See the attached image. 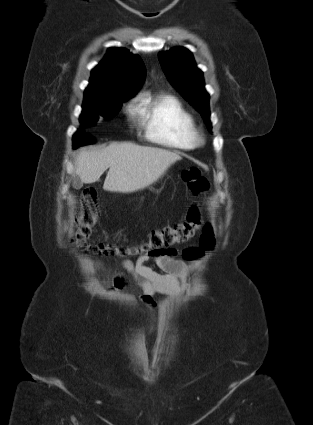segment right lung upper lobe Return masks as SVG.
<instances>
[{
	"label": "right lung upper lobe",
	"instance_id": "obj_1",
	"mask_svg": "<svg viewBox=\"0 0 313 425\" xmlns=\"http://www.w3.org/2000/svg\"><path fill=\"white\" fill-rule=\"evenodd\" d=\"M146 75L142 59L124 48H110L91 72L88 87L84 92V102L122 94L134 96L141 87Z\"/></svg>",
	"mask_w": 313,
	"mask_h": 425
}]
</instances>
